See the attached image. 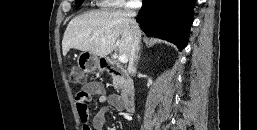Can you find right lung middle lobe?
Here are the masks:
<instances>
[{
  "label": "right lung middle lobe",
  "mask_w": 257,
  "mask_h": 130,
  "mask_svg": "<svg viewBox=\"0 0 257 130\" xmlns=\"http://www.w3.org/2000/svg\"><path fill=\"white\" fill-rule=\"evenodd\" d=\"M78 2L81 4L83 2V0H79Z\"/></svg>",
  "instance_id": "obj_1"
}]
</instances>
